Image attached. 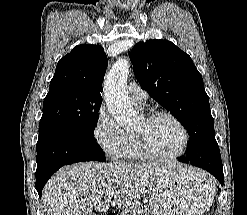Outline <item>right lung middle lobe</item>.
<instances>
[{
  "instance_id": "obj_1",
  "label": "right lung middle lobe",
  "mask_w": 247,
  "mask_h": 215,
  "mask_svg": "<svg viewBox=\"0 0 247 215\" xmlns=\"http://www.w3.org/2000/svg\"><path fill=\"white\" fill-rule=\"evenodd\" d=\"M102 100L78 95L70 89L49 92L43 102L39 133L46 129L66 128L94 139Z\"/></svg>"
}]
</instances>
